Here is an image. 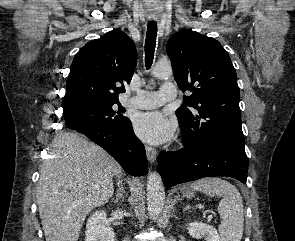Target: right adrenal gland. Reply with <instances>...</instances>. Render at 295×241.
<instances>
[{
	"instance_id": "obj_1",
	"label": "right adrenal gland",
	"mask_w": 295,
	"mask_h": 241,
	"mask_svg": "<svg viewBox=\"0 0 295 241\" xmlns=\"http://www.w3.org/2000/svg\"><path fill=\"white\" fill-rule=\"evenodd\" d=\"M119 184H121V186H122V182H121V181H119ZM124 193H125V192L123 191V188L121 187L120 190L117 191L116 199L113 200V202H114L115 204H117L118 201H119V199L123 198V196H124L123 194H124Z\"/></svg>"
}]
</instances>
